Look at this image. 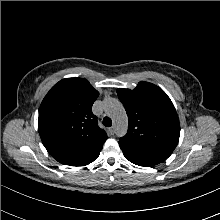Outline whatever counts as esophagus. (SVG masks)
Instances as JSON below:
<instances>
[{"mask_svg": "<svg viewBox=\"0 0 220 220\" xmlns=\"http://www.w3.org/2000/svg\"><path fill=\"white\" fill-rule=\"evenodd\" d=\"M109 132H110L111 135H113L114 132H115L114 127L109 128Z\"/></svg>", "mask_w": 220, "mask_h": 220, "instance_id": "esophagus-1", "label": "esophagus"}]
</instances>
